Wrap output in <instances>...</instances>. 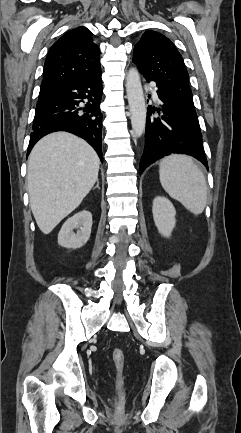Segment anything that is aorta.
Listing matches in <instances>:
<instances>
[{"instance_id":"aorta-1","label":"aorta","mask_w":241,"mask_h":433,"mask_svg":"<svg viewBox=\"0 0 241 433\" xmlns=\"http://www.w3.org/2000/svg\"><path fill=\"white\" fill-rule=\"evenodd\" d=\"M126 92L131 113V125L136 137H140L146 125V105L138 70L130 68L126 75Z\"/></svg>"}]
</instances>
